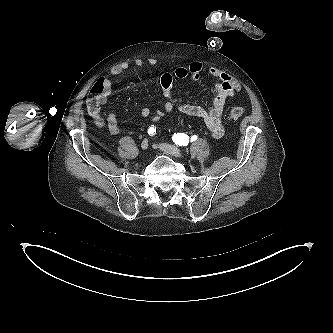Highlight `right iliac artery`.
I'll return each mask as SVG.
<instances>
[{
  "instance_id": "82829eb1",
  "label": "right iliac artery",
  "mask_w": 333,
  "mask_h": 333,
  "mask_svg": "<svg viewBox=\"0 0 333 333\" xmlns=\"http://www.w3.org/2000/svg\"><path fill=\"white\" fill-rule=\"evenodd\" d=\"M148 134H149V135H154V134H156V128H154V127H150V128L148 129Z\"/></svg>"
}]
</instances>
